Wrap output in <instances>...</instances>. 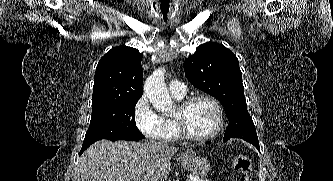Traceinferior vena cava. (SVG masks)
Wrapping results in <instances>:
<instances>
[{
  "label": "inferior vena cava",
  "instance_id": "602c4592",
  "mask_svg": "<svg viewBox=\"0 0 333 181\" xmlns=\"http://www.w3.org/2000/svg\"><path fill=\"white\" fill-rule=\"evenodd\" d=\"M150 144L153 145V146H161V147H162V146H163V147L165 146V144H163V143H161V142H156V141H153V140L150 141Z\"/></svg>",
  "mask_w": 333,
  "mask_h": 181
}]
</instances>
